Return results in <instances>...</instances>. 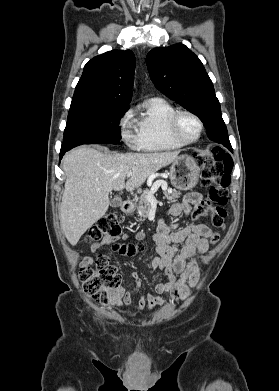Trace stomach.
<instances>
[{
	"label": "stomach",
	"instance_id": "stomach-1",
	"mask_svg": "<svg viewBox=\"0 0 279 391\" xmlns=\"http://www.w3.org/2000/svg\"><path fill=\"white\" fill-rule=\"evenodd\" d=\"M199 173V167L193 158L180 156L170 167V180L175 188L187 191L196 186Z\"/></svg>",
	"mask_w": 279,
	"mask_h": 391
}]
</instances>
